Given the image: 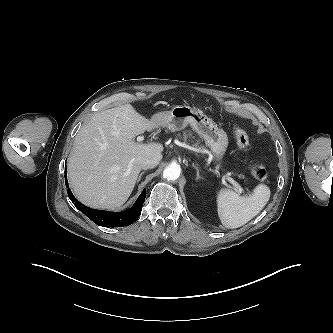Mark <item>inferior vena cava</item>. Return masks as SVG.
<instances>
[{
  "instance_id": "1",
  "label": "inferior vena cava",
  "mask_w": 333,
  "mask_h": 333,
  "mask_svg": "<svg viewBox=\"0 0 333 333\" xmlns=\"http://www.w3.org/2000/svg\"><path fill=\"white\" fill-rule=\"evenodd\" d=\"M162 159V155L161 154H155V155H148L145 156L142 160H141V168L142 169H151L156 167L160 160Z\"/></svg>"
}]
</instances>
